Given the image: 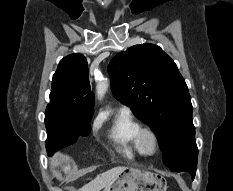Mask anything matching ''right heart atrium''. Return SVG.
Returning <instances> with one entry per match:
<instances>
[{"label": "right heart atrium", "instance_id": "d8ad5b80", "mask_svg": "<svg viewBox=\"0 0 233 191\" xmlns=\"http://www.w3.org/2000/svg\"><path fill=\"white\" fill-rule=\"evenodd\" d=\"M100 125V120L97 119L95 122H94V125H93V128L96 130Z\"/></svg>", "mask_w": 233, "mask_h": 191}]
</instances>
